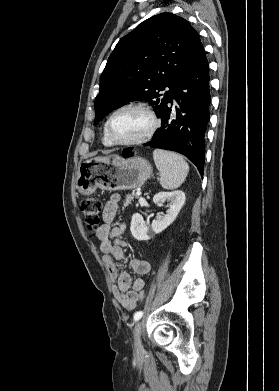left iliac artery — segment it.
<instances>
[{
	"instance_id": "1",
	"label": "left iliac artery",
	"mask_w": 279,
	"mask_h": 391,
	"mask_svg": "<svg viewBox=\"0 0 279 391\" xmlns=\"http://www.w3.org/2000/svg\"><path fill=\"white\" fill-rule=\"evenodd\" d=\"M142 315H143V312H142V311L136 312V313L134 314V317H133L134 321H138V320L142 317Z\"/></svg>"
}]
</instances>
